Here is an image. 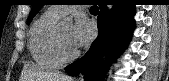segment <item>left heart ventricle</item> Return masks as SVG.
Instances as JSON below:
<instances>
[{
	"mask_svg": "<svg viewBox=\"0 0 169 81\" xmlns=\"http://www.w3.org/2000/svg\"><path fill=\"white\" fill-rule=\"evenodd\" d=\"M61 44L66 53L72 52L75 48L71 44L70 34H71V25L64 24L59 27Z\"/></svg>",
	"mask_w": 169,
	"mask_h": 81,
	"instance_id": "b2bd125f",
	"label": "left heart ventricle"
}]
</instances>
